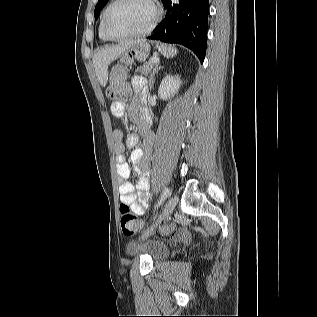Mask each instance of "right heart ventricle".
I'll return each mask as SVG.
<instances>
[{"instance_id":"1","label":"right heart ventricle","mask_w":317,"mask_h":317,"mask_svg":"<svg viewBox=\"0 0 317 317\" xmlns=\"http://www.w3.org/2000/svg\"><path fill=\"white\" fill-rule=\"evenodd\" d=\"M112 2H110L106 7L105 9L103 10L102 12V15H101V19H100V23H99V28H98V32H99V37L102 41L106 42L108 41L109 39L104 35V32H103V19H104V15L107 11V9L109 8V6L111 5Z\"/></svg>"}]
</instances>
